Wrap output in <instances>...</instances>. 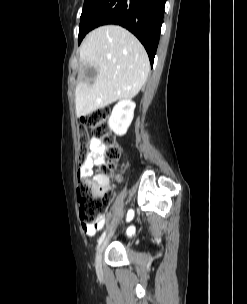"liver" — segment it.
<instances>
[{
  "mask_svg": "<svg viewBox=\"0 0 247 304\" xmlns=\"http://www.w3.org/2000/svg\"><path fill=\"white\" fill-rule=\"evenodd\" d=\"M80 66L93 67L89 84L83 72L75 90L76 116H86L117 100L133 98L145 84L150 63L143 45L126 29L106 25L90 32L80 47Z\"/></svg>",
  "mask_w": 247,
  "mask_h": 304,
  "instance_id": "obj_1",
  "label": "liver"
}]
</instances>
